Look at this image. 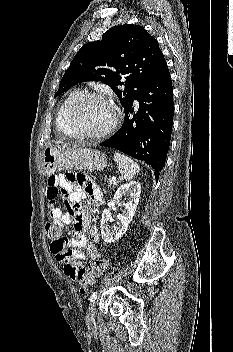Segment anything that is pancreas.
Here are the masks:
<instances>
[{
    "instance_id": "pancreas-1",
    "label": "pancreas",
    "mask_w": 233,
    "mask_h": 352,
    "mask_svg": "<svg viewBox=\"0 0 233 352\" xmlns=\"http://www.w3.org/2000/svg\"><path fill=\"white\" fill-rule=\"evenodd\" d=\"M108 183H109V186H115L119 183V181H116V182H112L111 178L107 179Z\"/></svg>"
}]
</instances>
